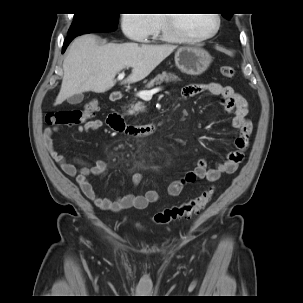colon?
Segmentation results:
<instances>
[{
  "instance_id": "5ec220e1",
  "label": "colon",
  "mask_w": 303,
  "mask_h": 303,
  "mask_svg": "<svg viewBox=\"0 0 303 303\" xmlns=\"http://www.w3.org/2000/svg\"><path fill=\"white\" fill-rule=\"evenodd\" d=\"M220 72L226 78H232L235 75V69L229 65L221 66ZM97 109L98 102L91 100L82 110L61 109L50 111L45 116V122L49 126L80 124L91 118ZM213 194L214 188L211 187L198 197L156 213L153 215L152 220L157 224H166L179 218L190 219L205 209L211 201Z\"/></svg>"
}]
</instances>
